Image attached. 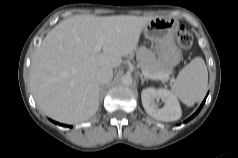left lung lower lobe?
Masks as SVG:
<instances>
[{
    "label": "left lung lower lobe",
    "mask_w": 238,
    "mask_h": 158,
    "mask_svg": "<svg viewBox=\"0 0 238 158\" xmlns=\"http://www.w3.org/2000/svg\"><path fill=\"white\" fill-rule=\"evenodd\" d=\"M204 103H205V100L203 101V103L201 104V106L199 107V109L195 112V114L192 115V116H191L189 119H187L185 122H187V121H189L190 119H192V118L201 110V108L203 107Z\"/></svg>",
    "instance_id": "0a47b994"
}]
</instances>
